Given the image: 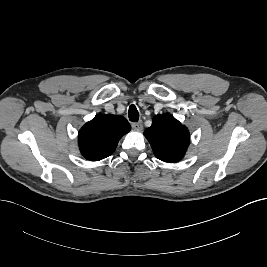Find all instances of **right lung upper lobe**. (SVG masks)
<instances>
[{"mask_svg":"<svg viewBox=\"0 0 267 267\" xmlns=\"http://www.w3.org/2000/svg\"><path fill=\"white\" fill-rule=\"evenodd\" d=\"M131 129L126 118L110 114H98L79 131L78 144L82 155L90 161L110 156L120 138Z\"/></svg>","mask_w":267,"mask_h":267,"instance_id":"right-lung-upper-lobe-1","label":"right lung upper lobe"}]
</instances>
